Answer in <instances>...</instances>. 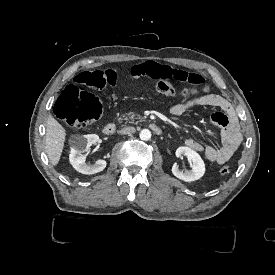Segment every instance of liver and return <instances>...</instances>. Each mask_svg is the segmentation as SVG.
Masks as SVG:
<instances>
[{
	"label": "liver",
	"mask_w": 275,
	"mask_h": 275,
	"mask_svg": "<svg viewBox=\"0 0 275 275\" xmlns=\"http://www.w3.org/2000/svg\"><path fill=\"white\" fill-rule=\"evenodd\" d=\"M66 132L58 121L49 115L46 127L45 149L52 165H57L64 147Z\"/></svg>",
	"instance_id": "1"
}]
</instances>
